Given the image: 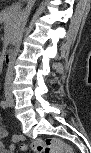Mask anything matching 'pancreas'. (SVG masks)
<instances>
[{
	"instance_id": "cf45deb5",
	"label": "pancreas",
	"mask_w": 91,
	"mask_h": 153,
	"mask_svg": "<svg viewBox=\"0 0 91 153\" xmlns=\"http://www.w3.org/2000/svg\"><path fill=\"white\" fill-rule=\"evenodd\" d=\"M1 20L5 24L7 31L10 34L11 42H13L14 37L20 26V11L18 7L12 6L4 9L1 12Z\"/></svg>"
}]
</instances>
